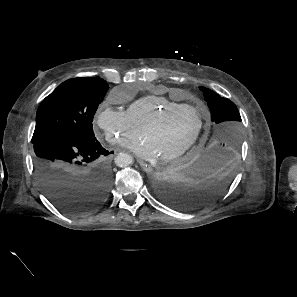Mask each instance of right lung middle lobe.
Here are the masks:
<instances>
[{
  "mask_svg": "<svg viewBox=\"0 0 297 297\" xmlns=\"http://www.w3.org/2000/svg\"><path fill=\"white\" fill-rule=\"evenodd\" d=\"M108 89L103 79L94 77L69 79L60 84L40 104L32 140L57 133L96 140L93 116Z\"/></svg>",
  "mask_w": 297,
  "mask_h": 297,
  "instance_id": "obj_1",
  "label": "right lung middle lobe"
}]
</instances>
